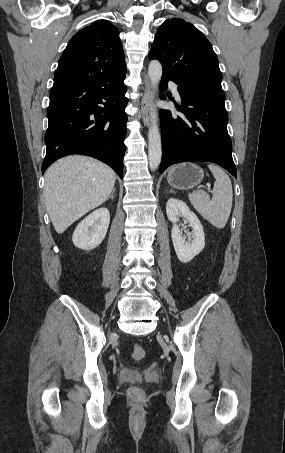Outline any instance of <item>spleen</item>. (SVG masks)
<instances>
[{"mask_svg":"<svg viewBox=\"0 0 285 453\" xmlns=\"http://www.w3.org/2000/svg\"><path fill=\"white\" fill-rule=\"evenodd\" d=\"M215 182L210 198L203 190L189 194V200L196 211L218 229L225 227L232 209L233 191L229 176L220 167L209 164Z\"/></svg>","mask_w":285,"mask_h":453,"instance_id":"obj_1","label":"spleen"}]
</instances>
